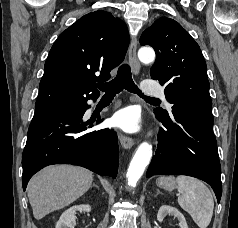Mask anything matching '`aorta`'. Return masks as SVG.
I'll use <instances>...</instances> for the list:
<instances>
[{
  "mask_svg": "<svg viewBox=\"0 0 238 228\" xmlns=\"http://www.w3.org/2000/svg\"><path fill=\"white\" fill-rule=\"evenodd\" d=\"M138 58L144 64L153 63L155 60V52L151 47H142L138 51ZM151 157L152 145L148 142L141 143L128 168L127 181L129 186H136L137 182L143 175L146 166L149 164Z\"/></svg>",
  "mask_w": 238,
  "mask_h": 228,
  "instance_id": "aorta-1",
  "label": "aorta"
}]
</instances>
